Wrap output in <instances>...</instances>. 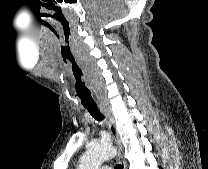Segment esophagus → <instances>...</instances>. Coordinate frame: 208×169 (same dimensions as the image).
I'll return each mask as SVG.
<instances>
[{
	"instance_id": "esophagus-1",
	"label": "esophagus",
	"mask_w": 208,
	"mask_h": 169,
	"mask_svg": "<svg viewBox=\"0 0 208 169\" xmlns=\"http://www.w3.org/2000/svg\"><path fill=\"white\" fill-rule=\"evenodd\" d=\"M99 110L101 111V113L105 117L106 124H107V127L109 129V132L112 135V137L115 141L116 147L118 149V153H117L118 161L123 166V169H127L126 161L122 156V144H121V141H120V138H119V135H118L117 128L115 126L114 119L112 118V116L110 114V111L108 110V108L106 106L100 105Z\"/></svg>"
}]
</instances>
